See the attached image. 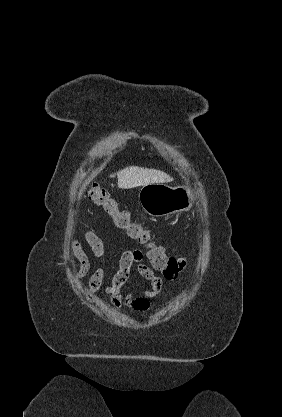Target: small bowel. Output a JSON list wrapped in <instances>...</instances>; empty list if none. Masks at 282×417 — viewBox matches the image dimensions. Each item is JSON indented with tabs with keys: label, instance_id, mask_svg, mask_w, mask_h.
Instances as JSON below:
<instances>
[{
	"label": "small bowel",
	"instance_id": "c3829d8e",
	"mask_svg": "<svg viewBox=\"0 0 282 417\" xmlns=\"http://www.w3.org/2000/svg\"><path fill=\"white\" fill-rule=\"evenodd\" d=\"M84 237L90 246L93 255L99 259L101 263H104L105 249L100 237L92 230H88ZM72 247L74 255L79 262V268L75 275L76 278L81 279L89 273L91 263L88 255L78 241H74ZM142 257V252L139 250H127L121 255L119 268L113 276L111 286L108 287L106 291L112 305L117 310H120L125 306L138 312L149 311L151 309L150 300L157 297L162 291V279L155 274L153 268L142 262ZM134 266H136L138 273L149 281L150 288L139 292L126 293L124 288ZM104 276L105 270L102 266L98 267L91 274L88 284V295H93L100 289Z\"/></svg>",
	"mask_w": 282,
	"mask_h": 417
}]
</instances>
